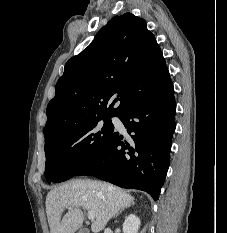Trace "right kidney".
Segmentation results:
<instances>
[{
  "label": "right kidney",
  "mask_w": 227,
  "mask_h": 233,
  "mask_svg": "<svg viewBox=\"0 0 227 233\" xmlns=\"http://www.w3.org/2000/svg\"><path fill=\"white\" fill-rule=\"evenodd\" d=\"M140 224V219L136 215L130 214L123 223V233H137Z\"/></svg>",
  "instance_id": "1"
}]
</instances>
